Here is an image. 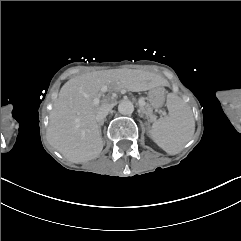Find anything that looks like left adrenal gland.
<instances>
[{
  "label": "left adrenal gland",
  "instance_id": "left-adrenal-gland-1",
  "mask_svg": "<svg viewBox=\"0 0 241 241\" xmlns=\"http://www.w3.org/2000/svg\"><path fill=\"white\" fill-rule=\"evenodd\" d=\"M147 120H148V125H149V123H150V119L147 117Z\"/></svg>",
  "mask_w": 241,
  "mask_h": 241
}]
</instances>
